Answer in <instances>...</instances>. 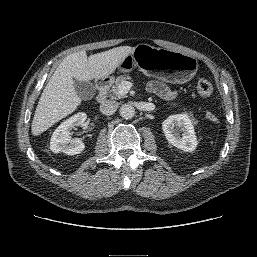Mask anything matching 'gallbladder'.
Wrapping results in <instances>:
<instances>
[{
    "label": "gallbladder",
    "mask_w": 257,
    "mask_h": 257,
    "mask_svg": "<svg viewBox=\"0 0 257 257\" xmlns=\"http://www.w3.org/2000/svg\"><path fill=\"white\" fill-rule=\"evenodd\" d=\"M75 90L82 100H89L95 95V87L91 82L75 80Z\"/></svg>",
    "instance_id": "1"
}]
</instances>
